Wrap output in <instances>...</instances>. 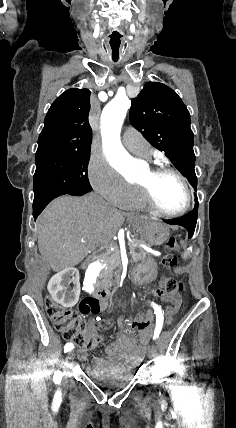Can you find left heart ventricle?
I'll list each match as a JSON object with an SVG mask.
<instances>
[{"instance_id":"1","label":"left heart ventricle","mask_w":236,"mask_h":428,"mask_svg":"<svg viewBox=\"0 0 236 428\" xmlns=\"http://www.w3.org/2000/svg\"><path fill=\"white\" fill-rule=\"evenodd\" d=\"M148 171L136 178H128L131 183L143 182L148 178ZM153 191L159 204L166 210L180 209L186 201V191L182 182L171 174H164L153 182Z\"/></svg>"}]
</instances>
